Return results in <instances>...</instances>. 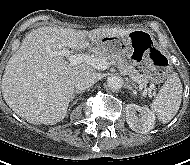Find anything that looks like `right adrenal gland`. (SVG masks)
Listing matches in <instances>:
<instances>
[{"mask_svg": "<svg viewBox=\"0 0 190 165\" xmlns=\"http://www.w3.org/2000/svg\"><path fill=\"white\" fill-rule=\"evenodd\" d=\"M83 92H84V91L75 90L74 93H73V95H72V97H71V99L73 100V99L75 98L76 94H82ZM76 103H77V100L74 101V102L72 103V105H75Z\"/></svg>", "mask_w": 190, "mask_h": 165, "instance_id": "1", "label": "right adrenal gland"}]
</instances>
